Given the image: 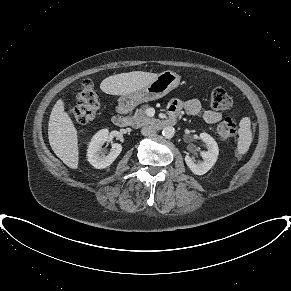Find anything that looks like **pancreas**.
<instances>
[{
	"label": "pancreas",
	"mask_w": 291,
	"mask_h": 291,
	"mask_svg": "<svg viewBox=\"0 0 291 291\" xmlns=\"http://www.w3.org/2000/svg\"><path fill=\"white\" fill-rule=\"evenodd\" d=\"M148 108V105H143L139 110L135 112V114L129 117V123L134 128H139L141 126L150 124L155 121L153 118H149L145 111Z\"/></svg>",
	"instance_id": "1"
}]
</instances>
